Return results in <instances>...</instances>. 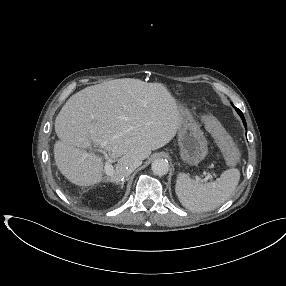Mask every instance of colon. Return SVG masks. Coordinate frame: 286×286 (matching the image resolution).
I'll use <instances>...</instances> for the list:
<instances>
[{
	"instance_id": "1",
	"label": "colon",
	"mask_w": 286,
	"mask_h": 286,
	"mask_svg": "<svg viewBox=\"0 0 286 286\" xmlns=\"http://www.w3.org/2000/svg\"><path fill=\"white\" fill-rule=\"evenodd\" d=\"M204 124L222 150L227 164L230 166L235 165L238 161V151L233 139L225 128L211 115L204 117Z\"/></svg>"
}]
</instances>
